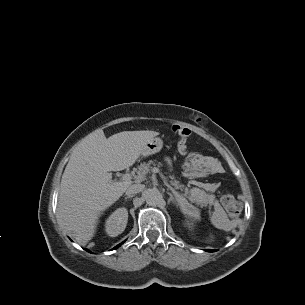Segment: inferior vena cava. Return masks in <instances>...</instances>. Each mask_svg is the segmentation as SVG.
Segmentation results:
<instances>
[{
    "mask_svg": "<svg viewBox=\"0 0 305 305\" xmlns=\"http://www.w3.org/2000/svg\"><path fill=\"white\" fill-rule=\"evenodd\" d=\"M143 189H144V185L133 184V185H131L130 187L127 188L126 195L130 196V195L137 194V193L141 192Z\"/></svg>",
    "mask_w": 305,
    "mask_h": 305,
    "instance_id": "inferior-vena-cava-1",
    "label": "inferior vena cava"
}]
</instances>
